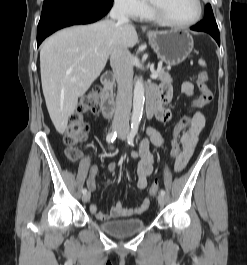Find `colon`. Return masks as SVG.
<instances>
[{
    "mask_svg": "<svg viewBox=\"0 0 247 265\" xmlns=\"http://www.w3.org/2000/svg\"><path fill=\"white\" fill-rule=\"evenodd\" d=\"M197 84L200 94L193 100L192 108H198L209 104L213 99V93L208 86V74L201 71L197 76ZM101 92L98 88L91 89L80 101L77 110L71 116L67 129L64 133V143L66 145V156L71 161H76L81 156L78 145L83 142L89 133V126L86 116L95 114L100 107ZM191 121V115L188 113L183 116L175 125L173 130V138L170 148V159L176 163L180 146L178 137L180 133L186 129ZM160 188L159 180H156L149 189L150 196H156Z\"/></svg>",
    "mask_w": 247,
    "mask_h": 265,
    "instance_id": "obj_1",
    "label": "colon"
}]
</instances>
